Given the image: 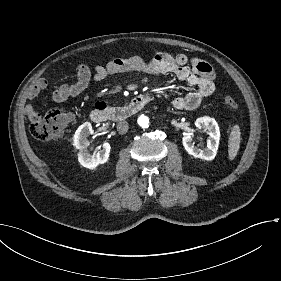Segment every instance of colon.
<instances>
[{"mask_svg":"<svg viewBox=\"0 0 281 281\" xmlns=\"http://www.w3.org/2000/svg\"><path fill=\"white\" fill-rule=\"evenodd\" d=\"M223 105L227 108H236L237 101L231 96L223 97ZM66 127V119L61 112L50 111L48 114L39 116L30 126L32 136L42 142H54L59 140Z\"/></svg>","mask_w":281,"mask_h":281,"instance_id":"obj_1","label":"colon"}]
</instances>
